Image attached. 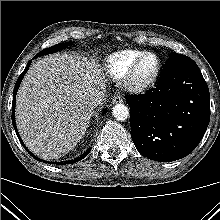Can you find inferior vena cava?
<instances>
[{
    "label": "inferior vena cava",
    "instance_id": "obj_1",
    "mask_svg": "<svg viewBox=\"0 0 220 220\" xmlns=\"http://www.w3.org/2000/svg\"><path fill=\"white\" fill-rule=\"evenodd\" d=\"M105 98V90H95L89 97V104L93 107H97L102 103Z\"/></svg>",
    "mask_w": 220,
    "mask_h": 220
}]
</instances>
